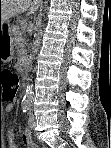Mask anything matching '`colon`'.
Here are the masks:
<instances>
[{"mask_svg":"<svg viewBox=\"0 0 111 148\" xmlns=\"http://www.w3.org/2000/svg\"><path fill=\"white\" fill-rule=\"evenodd\" d=\"M0 87H2V95L5 100H16L18 93V77L15 73L8 69L0 71ZM37 147V146H35Z\"/></svg>","mask_w":111,"mask_h":148,"instance_id":"1","label":"colon"}]
</instances>
